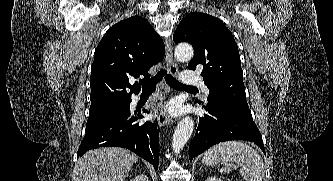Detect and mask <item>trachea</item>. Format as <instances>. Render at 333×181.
Segmentation results:
<instances>
[{
	"label": "trachea",
	"mask_w": 333,
	"mask_h": 181,
	"mask_svg": "<svg viewBox=\"0 0 333 181\" xmlns=\"http://www.w3.org/2000/svg\"><path fill=\"white\" fill-rule=\"evenodd\" d=\"M165 76L167 84L174 88V89H197L196 87L187 86L182 83H180L178 80H176L171 74L167 73L165 69L160 70L154 78L149 80L148 82L144 83L142 85V91L143 92H153L156 89V85L158 82L162 80V78Z\"/></svg>",
	"instance_id": "trachea-1"
}]
</instances>
